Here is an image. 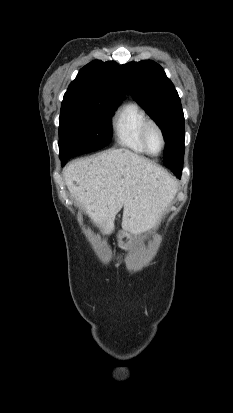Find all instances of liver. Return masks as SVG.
Here are the masks:
<instances>
[{
	"mask_svg": "<svg viewBox=\"0 0 233 413\" xmlns=\"http://www.w3.org/2000/svg\"><path fill=\"white\" fill-rule=\"evenodd\" d=\"M70 194L109 235L123 208L122 228L140 234L157 225L177 192L160 166L127 149L75 160L63 170Z\"/></svg>",
	"mask_w": 233,
	"mask_h": 413,
	"instance_id": "obj_1",
	"label": "liver"
}]
</instances>
